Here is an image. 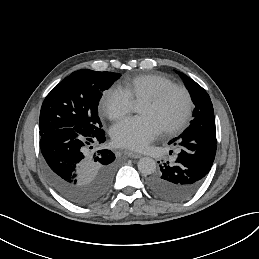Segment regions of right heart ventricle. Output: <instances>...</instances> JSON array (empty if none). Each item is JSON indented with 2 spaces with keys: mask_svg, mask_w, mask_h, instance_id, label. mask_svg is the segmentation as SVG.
Instances as JSON below:
<instances>
[{
  "mask_svg": "<svg viewBox=\"0 0 259 259\" xmlns=\"http://www.w3.org/2000/svg\"><path fill=\"white\" fill-rule=\"evenodd\" d=\"M170 84H173V81L161 74H134L123 76L115 90L135 103L144 101Z\"/></svg>",
  "mask_w": 259,
  "mask_h": 259,
  "instance_id": "1",
  "label": "right heart ventricle"
}]
</instances>
